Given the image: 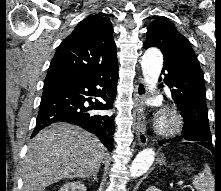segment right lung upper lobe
<instances>
[{
    "mask_svg": "<svg viewBox=\"0 0 221 191\" xmlns=\"http://www.w3.org/2000/svg\"><path fill=\"white\" fill-rule=\"evenodd\" d=\"M113 27L103 15L82 20L59 45L44 83L95 76L118 67Z\"/></svg>",
    "mask_w": 221,
    "mask_h": 191,
    "instance_id": "cb5924a9",
    "label": "right lung upper lobe"
}]
</instances>
